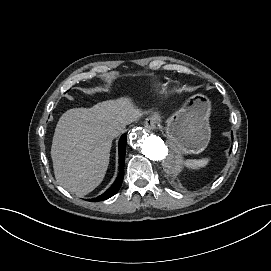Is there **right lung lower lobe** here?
<instances>
[{
  "label": "right lung lower lobe",
  "instance_id": "right-lung-lower-lobe-1",
  "mask_svg": "<svg viewBox=\"0 0 271 271\" xmlns=\"http://www.w3.org/2000/svg\"><path fill=\"white\" fill-rule=\"evenodd\" d=\"M125 151H126V135L123 134L119 140V174L113 185L102 195L97 198L87 199V201H103L112 196H114L121 187L123 177H124V161H125Z\"/></svg>",
  "mask_w": 271,
  "mask_h": 271
}]
</instances>
